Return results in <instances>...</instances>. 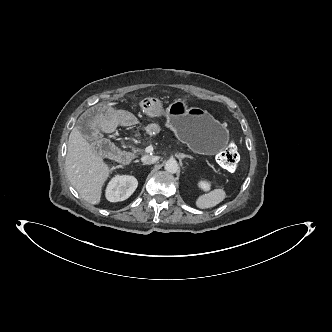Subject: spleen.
I'll return each instance as SVG.
<instances>
[{
	"label": "spleen",
	"mask_w": 332,
	"mask_h": 332,
	"mask_svg": "<svg viewBox=\"0 0 332 332\" xmlns=\"http://www.w3.org/2000/svg\"><path fill=\"white\" fill-rule=\"evenodd\" d=\"M225 198V190L221 188H216L211 190L210 192L200 195L196 199L195 204L199 209H208L220 204Z\"/></svg>",
	"instance_id": "1"
}]
</instances>
